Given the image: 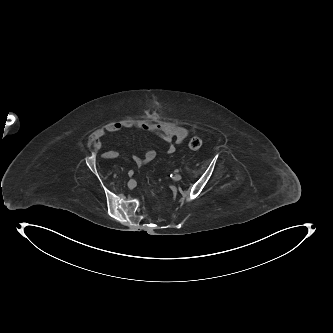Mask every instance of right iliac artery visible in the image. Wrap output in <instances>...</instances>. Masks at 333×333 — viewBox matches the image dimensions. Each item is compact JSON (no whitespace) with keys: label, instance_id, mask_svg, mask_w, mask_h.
I'll return each instance as SVG.
<instances>
[{"label":"right iliac artery","instance_id":"82829eb1","mask_svg":"<svg viewBox=\"0 0 333 333\" xmlns=\"http://www.w3.org/2000/svg\"><path fill=\"white\" fill-rule=\"evenodd\" d=\"M134 174V171L133 170H130L129 172H128V175L131 177L132 175Z\"/></svg>","mask_w":333,"mask_h":333}]
</instances>
